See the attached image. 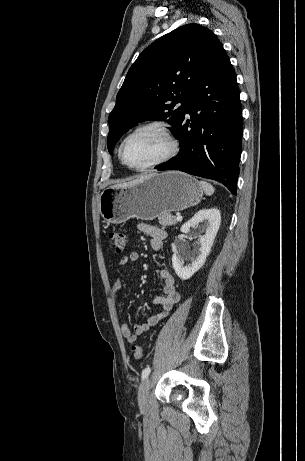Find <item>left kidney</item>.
I'll return each mask as SVG.
<instances>
[{
  "label": "left kidney",
  "instance_id": "obj_1",
  "mask_svg": "<svg viewBox=\"0 0 305 461\" xmlns=\"http://www.w3.org/2000/svg\"><path fill=\"white\" fill-rule=\"evenodd\" d=\"M202 225L200 226V224ZM221 224L220 210L217 208L203 209L198 211L190 220L181 227L182 233H189L190 228L205 230L204 235H198L200 245L197 256L192 258L189 265L184 266V256L190 253L189 246L180 243L172 256V265L177 276L182 280L191 278L205 263L211 251L215 236ZM197 235V233H196Z\"/></svg>",
  "mask_w": 305,
  "mask_h": 461
}]
</instances>
